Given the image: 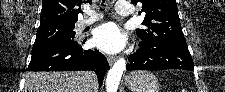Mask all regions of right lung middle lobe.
<instances>
[{"label":"right lung middle lobe","mask_w":225,"mask_h":92,"mask_svg":"<svg viewBox=\"0 0 225 92\" xmlns=\"http://www.w3.org/2000/svg\"><path fill=\"white\" fill-rule=\"evenodd\" d=\"M74 24H46L39 26L33 47L50 43L70 42L75 37Z\"/></svg>","instance_id":"1"}]
</instances>
